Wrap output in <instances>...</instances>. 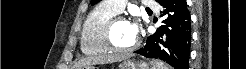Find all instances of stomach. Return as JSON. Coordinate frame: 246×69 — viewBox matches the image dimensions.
Masks as SVG:
<instances>
[{
  "label": "stomach",
  "instance_id": "1",
  "mask_svg": "<svg viewBox=\"0 0 246 69\" xmlns=\"http://www.w3.org/2000/svg\"><path fill=\"white\" fill-rule=\"evenodd\" d=\"M119 69H147V64L144 61H133V60H125L120 64ZM80 69H95L92 65L82 67Z\"/></svg>",
  "mask_w": 246,
  "mask_h": 69
}]
</instances>
